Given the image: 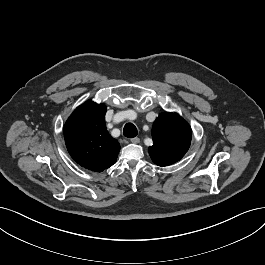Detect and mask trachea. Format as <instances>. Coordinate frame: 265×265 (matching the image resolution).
Listing matches in <instances>:
<instances>
[{
    "label": "trachea",
    "instance_id": "3493384b",
    "mask_svg": "<svg viewBox=\"0 0 265 265\" xmlns=\"http://www.w3.org/2000/svg\"><path fill=\"white\" fill-rule=\"evenodd\" d=\"M123 134L125 137L127 138H134L137 136L138 134V131H137V128L134 124L132 123H127L125 126H124V129H123Z\"/></svg>",
    "mask_w": 265,
    "mask_h": 265
}]
</instances>
